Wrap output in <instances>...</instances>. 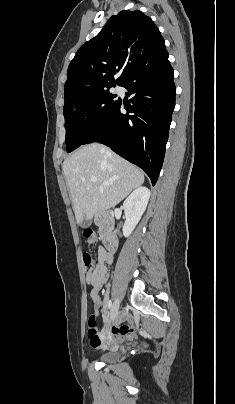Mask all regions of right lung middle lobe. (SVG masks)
Instances as JSON below:
<instances>
[{"mask_svg":"<svg viewBox=\"0 0 235 404\" xmlns=\"http://www.w3.org/2000/svg\"><path fill=\"white\" fill-rule=\"evenodd\" d=\"M114 87V86H111ZM99 90L64 104L67 152L83 144L95 128L119 103L110 88Z\"/></svg>","mask_w":235,"mask_h":404,"instance_id":"1","label":"right lung middle lobe"}]
</instances>
